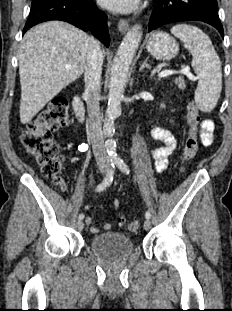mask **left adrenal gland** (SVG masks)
<instances>
[{"label": "left adrenal gland", "mask_w": 232, "mask_h": 311, "mask_svg": "<svg viewBox=\"0 0 232 311\" xmlns=\"http://www.w3.org/2000/svg\"><path fill=\"white\" fill-rule=\"evenodd\" d=\"M148 58L145 59V61L142 63L141 67L139 68V71H142L144 68H149V64L147 63Z\"/></svg>", "instance_id": "a2214340"}]
</instances>
